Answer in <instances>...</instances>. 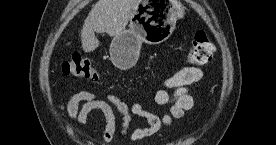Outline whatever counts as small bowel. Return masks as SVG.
Wrapping results in <instances>:
<instances>
[{"label": "small bowel", "mask_w": 276, "mask_h": 145, "mask_svg": "<svg viewBox=\"0 0 276 145\" xmlns=\"http://www.w3.org/2000/svg\"><path fill=\"white\" fill-rule=\"evenodd\" d=\"M203 71L197 67H184L163 82V89L159 90L154 100L158 105L167 107L162 116L145 110L141 104L134 103L128 106L115 95H108L106 100L99 99L94 93L80 91L70 96L65 102L58 105L62 117H68L78 125H85L89 114L98 110L104 117L103 144H109L116 134V118L113 109H116L122 118L121 133L131 141H138L157 134L162 126H171L173 120L179 119L189 111L194 99L189 93V87L198 82ZM174 90L169 94L168 90ZM144 118L148 125L144 128L132 129V116Z\"/></svg>", "instance_id": "1"}]
</instances>
